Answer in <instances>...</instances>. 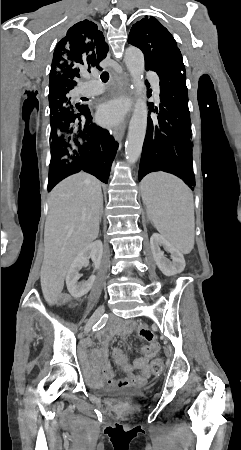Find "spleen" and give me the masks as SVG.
Masks as SVG:
<instances>
[{"label": "spleen", "instance_id": "3e777b00", "mask_svg": "<svg viewBox=\"0 0 241 450\" xmlns=\"http://www.w3.org/2000/svg\"><path fill=\"white\" fill-rule=\"evenodd\" d=\"M143 204L154 226L181 254L194 248L193 194L176 176L152 172L141 184Z\"/></svg>", "mask_w": 241, "mask_h": 450}]
</instances>
